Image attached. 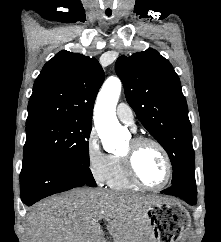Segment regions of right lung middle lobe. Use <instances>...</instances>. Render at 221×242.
<instances>
[{
	"label": "right lung middle lobe",
	"instance_id": "right-lung-middle-lobe-1",
	"mask_svg": "<svg viewBox=\"0 0 221 242\" xmlns=\"http://www.w3.org/2000/svg\"><path fill=\"white\" fill-rule=\"evenodd\" d=\"M92 121L57 120L26 126L24 155L47 153L89 166Z\"/></svg>",
	"mask_w": 221,
	"mask_h": 242
}]
</instances>
